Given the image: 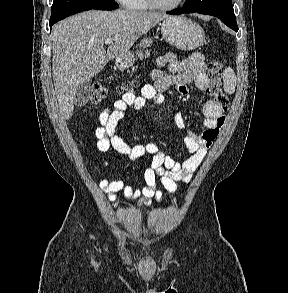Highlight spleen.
I'll list each match as a JSON object with an SVG mask.
<instances>
[{"label": "spleen", "mask_w": 288, "mask_h": 293, "mask_svg": "<svg viewBox=\"0 0 288 293\" xmlns=\"http://www.w3.org/2000/svg\"><path fill=\"white\" fill-rule=\"evenodd\" d=\"M223 85H224V91L226 93L233 94L235 92L236 76L231 67H228L224 70Z\"/></svg>", "instance_id": "spleen-1"}]
</instances>
